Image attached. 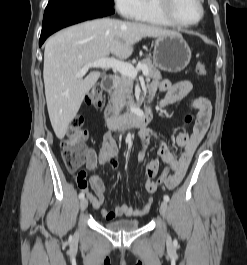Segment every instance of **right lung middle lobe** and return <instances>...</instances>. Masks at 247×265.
I'll return each instance as SVG.
<instances>
[{
	"instance_id": "right-lung-middle-lobe-1",
	"label": "right lung middle lobe",
	"mask_w": 247,
	"mask_h": 265,
	"mask_svg": "<svg viewBox=\"0 0 247 265\" xmlns=\"http://www.w3.org/2000/svg\"><path fill=\"white\" fill-rule=\"evenodd\" d=\"M51 1H55V0H49V2H51ZM95 1L105 2V3H108L110 5H113L114 4V1L113 0H95Z\"/></svg>"
}]
</instances>
